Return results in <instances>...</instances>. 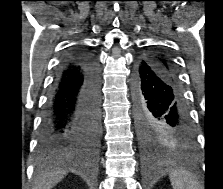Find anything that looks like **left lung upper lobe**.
<instances>
[{
  "label": "left lung upper lobe",
  "mask_w": 223,
  "mask_h": 189,
  "mask_svg": "<svg viewBox=\"0 0 223 189\" xmlns=\"http://www.w3.org/2000/svg\"><path fill=\"white\" fill-rule=\"evenodd\" d=\"M143 60L154 61L161 64L170 77L179 83V78L171 57L162 50H150L143 55ZM140 138L148 150H163L168 148H185V145L180 140L172 135L170 130L160 124H155L151 127L142 129L139 128Z\"/></svg>",
  "instance_id": "1"
}]
</instances>
